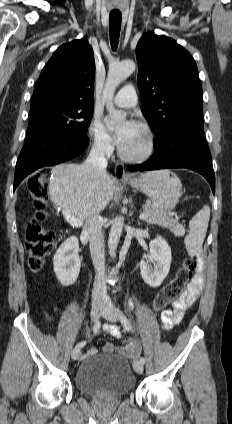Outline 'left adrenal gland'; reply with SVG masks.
<instances>
[{
	"instance_id": "left-adrenal-gland-1",
	"label": "left adrenal gland",
	"mask_w": 232,
	"mask_h": 424,
	"mask_svg": "<svg viewBox=\"0 0 232 424\" xmlns=\"http://www.w3.org/2000/svg\"><path fill=\"white\" fill-rule=\"evenodd\" d=\"M141 223H140V221H138V225H140Z\"/></svg>"
}]
</instances>
